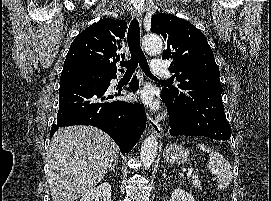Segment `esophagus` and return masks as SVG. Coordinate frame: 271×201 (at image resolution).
<instances>
[{
	"label": "esophagus",
	"mask_w": 271,
	"mask_h": 201,
	"mask_svg": "<svg viewBox=\"0 0 271 201\" xmlns=\"http://www.w3.org/2000/svg\"><path fill=\"white\" fill-rule=\"evenodd\" d=\"M132 16L136 18L141 25L142 23V12L140 10H133L132 11ZM147 116V122L148 125L152 131L153 134H155L157 137L161 138L163 135V128L162 126L149 114H146Z\"/></svg>",
	"instance_id": "1"
}]
</instances>
